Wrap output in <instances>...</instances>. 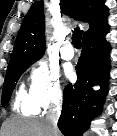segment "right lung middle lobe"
Wrapping results in <instances>:
<instances>
[{
	"mask_svg": "<svg viewBox=\"0 0 117 136\" xmlns=\"http://www.w3.org/2000/svg\"><path fill=\"white\" fill-rule=\"evenodd\" d=\"M38 59L22 60L8 66L4 85H3V92H2V99H1L2 106H5L8 104L12 91L14 87L16 86V82L18 81L22 73L25 72L27 68L31 64L36 62Z\"/></svg>",
	"mask_w": 117,
	"mask_h": 136,
	"instance_id": "1",
	"label": "right lung middle lobe"
}]
</instances>
